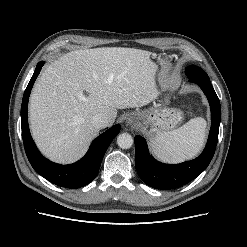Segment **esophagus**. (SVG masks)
<instances>
[{"mask_svg":"<svg viewBox=\"0 0 247 247\" xmlns=\"http://www.w3.org/2000/svg\"><path fill=\"white\" fill-rule=\"evenodd\" d=\"M135 122H136L135 116H128L126 118V124H127V126L134 125Z\"/></svg>","mask_w":247,"mask_h":247,"instance_id":"1","label":"esophagus"}]
</instances>
